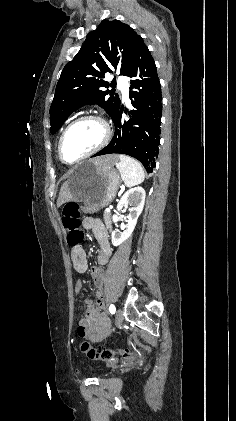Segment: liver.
Here are the masks:
<instances>
[{
    "instance_id": "1",
    "label": "liver",
    "mask_w": 236,
    "mask_h": 421,
    "mask_svg": "<svg viewBox=\"0 0 236 421\" xmlns=\"http://www.w3.org/2000/svg\"><path fill=\"white\" fill-rule=\"evenodd\" d=\"M117 158L118 154H104V156H95V158H91V160L92 162H95V164H100V166H113ZM69 186L70 182H68V180H65V182L61 184L59 196L57 198V206H61L63 202H68V200H73Z\"/></svg>"
}]
</instances>
